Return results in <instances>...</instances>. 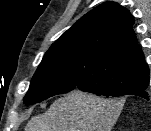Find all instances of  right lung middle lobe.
<instances>
[{
	"label": "right lung middle lobe",
	"mask_w": 151,
	"mask_h": 131,
	"mask_svg": "<svg viewBox=\"0 0 151 131\" xmlns=\"http://www.w3.org/2000/svg\"><path fill=\"white\" fill-rule=\"evenodd\" d=\"M80 76L92 78L98 86L107 89L99 78L97 64L92 56L76 50L69 43L51 47L43 57L24 97V104H35L54 95L76 88Z\"/></svg>",
	"instance_id": "right-lung-middle-lobe-1"
}]
</instances>
